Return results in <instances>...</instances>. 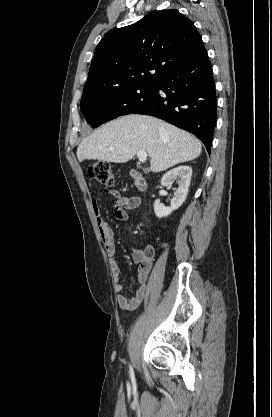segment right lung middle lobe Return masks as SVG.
<instances>
[{
    "label": "right lung middle lobe",
    "mask_w": 272,
    "mask_h": 417,
    "mask_svg": "<svg viewBox=\"0 0 272 417\" xmlns=\"http://www.w3.org/2000/svg\"><path fill=\"white\" fill-rule=\"evenodd\" d=\"M155 84L146 83L103 95H83L80 107L92 127L131 114L154 97Z\"/></svg>",
    "instance_id": "right-lung-middle-lobe-1"
}]
</instances>
